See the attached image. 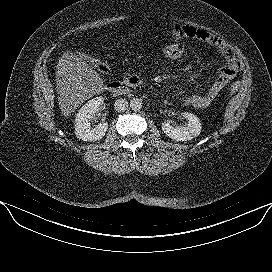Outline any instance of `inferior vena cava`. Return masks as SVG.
Here are the masks:
<instances>
[{
  "instance_id": "602c4592",
  "label": "inferior vena cava",
  "mask_w": 272,
  "mask_h": 272,
  "mask_svg": "<svg viewBox=\"0 0 272 272\" xmlns=\"http://www.w3.org/2000/svg\"><path fill=\"white\" fill-rule=\"evenodd\" d=\"M117 112H124L128 108V101L126 99H117L114 103Z\"/></svg>"
}]
</instances>
